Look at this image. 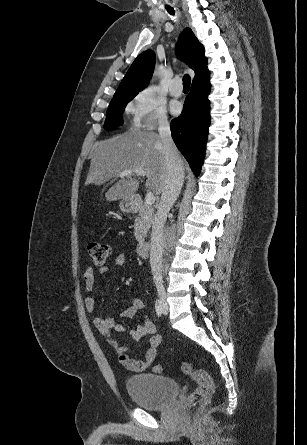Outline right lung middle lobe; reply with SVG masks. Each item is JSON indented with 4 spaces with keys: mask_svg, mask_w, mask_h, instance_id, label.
I'll return each mask as SVG.
<instances>
[{
    "mask_svg": "<svg viewBox=\"0 0 307 445\" xmlns=\"http://www.w3.org/2000/svg\"><path fill=\"white\" fill-rule=\"evenodd\" d=\"M134 97H128L120 100H116L110 102V105L107 109L106 120L104 124V129L112 130L123 124V120L121 118L122 113L125 109L127 103L132 100Z\"/></svg>",
    "mask_w": 307,
    "mask_h": 445,
    "instance_id": "1",
    "label": "right lung middle lobe"
}]
</instances>
